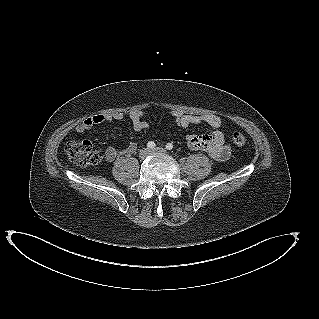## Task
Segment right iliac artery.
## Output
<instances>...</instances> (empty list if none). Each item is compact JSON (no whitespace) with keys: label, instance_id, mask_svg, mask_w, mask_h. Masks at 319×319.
Segmentation results:
<instances>
[{"label":"right iliac artery","instance_id":"1","mask_svg":"<svg viewBox=\"0 0 319 319\" xmlns=\"http://www.w3.org/2000/svg\"><path fill=\"white\" fill-rule=\"evenodd\" d=\"M155 143L153 142V141H149L148 143H147V147L148 148H150V149H153V148H155Z\"/></svg>","mask_w":319,"mask_h":319}]
</instances>
